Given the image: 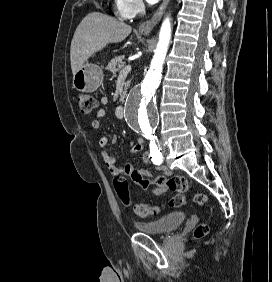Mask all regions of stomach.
<instances>
[{"instance_id": "stomach-1", "label": "stomach", "mask_w": 272, "mask_h": 282, "mask_svg": "<svg viewBox=\"0 0 272 282\" xmlns=\"http://www.w3.org/2000/svg\"><path fill=\"white\" fill-rule=\"evenodd\" d=\"M102 68L96 64H84L73 76V87L81 92L96 91L103 81Z\"/></svg>"}]
</instances>
